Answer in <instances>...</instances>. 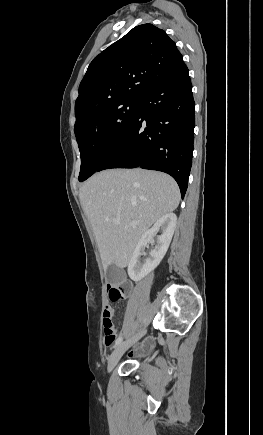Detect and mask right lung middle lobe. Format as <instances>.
Wrapping results in <instances>:
<instances>
[{"label":"right lung middle lobe","mask_w":263,"mask_h":435,"mask_svg":"<svg viewBox=\"0 0 263 435\" xmlns=\"http://www.w3.org/2000/svg\"><path fill=\"white\" fill-rule=\"evenodd\" d=\"M141 99L111 103L75 128L81 154L79 181L93 175L121 142L138 114Z\"/></svg>","instance_id":"1"}]
</instances>
